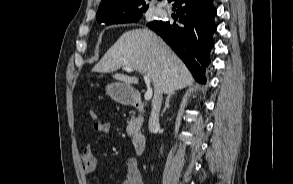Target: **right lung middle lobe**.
Instances as JSON below:
<instances>
[{
  "mask_svg": "<svg viewBox=\"0 0 293 184\" xmlns=\"http://www.w3.org/2000/svg\"><path fill=\"white\" fill-rule=\"evenodd\" d=\"M143 15V12H140V13H137L131 17H128V18H125V19H122L116 23H112V24H118V23H128V22H137L141 19Z\"/></svg>",
  "mask_w": 293,
  "mask_h": 184,
  "instance_id": "right-lung-middle-lobe-1",
  "label": "right lung middle lobe"
}]
</instances>
